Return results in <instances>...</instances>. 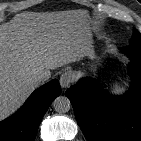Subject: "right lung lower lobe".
<instances>
[{"instance_id":"1","label":"right lung lower lobe","mask_w":141,"mask_h":141,"mask_svg":"<svg viewBox=\"0 0 141 141\" xmlns=\"http://www.w3.org/2000/svg\"><path fill=\"white\" fill-rule=\"evenodd\" d=\"M60 93L56 79L35 90L15 114L0 122V141H34L44 114Z\"/></svg>"}]
</instances>
